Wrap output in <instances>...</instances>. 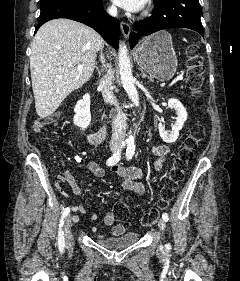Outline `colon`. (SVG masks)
I'll return each instance as SVG.
<instances>
[{"mask_svg":"<svg viewBox=\"0 0 240 281\" xmlns=\"http://www.w3.org/2000/svg\"><path fill=\"white\" fill-rule=\"evenodd\" d=\"M203 66L202 60L199 56V48L195 44H191L187 49L186 61V85L191 91L192 95L198 96L203 83ZM58 121V115L54 114L43 121L36 124L38 131L50 128ZM205 135L204 126L201 123L195 124L189 134L186 136L182 147L177 152L173 160L172 166L164 180L163 187L160 192V198L156 207L152 208L142 218L143 226L153 225L160 212L167 208L169 202L172 200L175 190L179 183L184 178L188 163L192 158L193 151L196 149L198 143L202 141ZM113 215L115 220L121 224H126L129 219V208L125 202H116L113 207Z\"/></svg>","mask_w":240,"mask_h":281,"instance_id":"colon-1","label":"colon"}]
</instances>
